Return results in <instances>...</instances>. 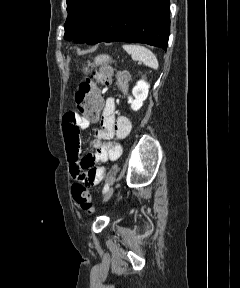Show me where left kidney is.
<instances>
[{"instance_id": "obj_1", "label": "left kidney", "mask_w": 240, "mask_h": 288, "mask_svg": "<svg viewBox=\"0 0 240 288\" xmlns=\"http://www.w3.org/2000/svg\"><path fill=\"white\" fill-rule=\"evenodd\" d=\"M148 92L149 84L146 81L137 82V85L132 89L134 99L132 97L128 98L132 110L137 111L142 107L143 102L147 99Z\"/></svg>"}]
</instances>
